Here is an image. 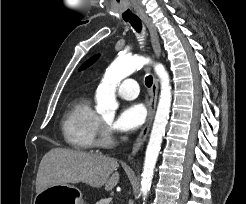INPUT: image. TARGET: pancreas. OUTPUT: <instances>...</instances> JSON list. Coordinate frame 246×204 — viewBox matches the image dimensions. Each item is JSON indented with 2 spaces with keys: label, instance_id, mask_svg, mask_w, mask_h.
<instances>
[{
  "label": "pancreas",
  "instance_id": "pancreas-1",
  "mask_svg": "<svg viewBox=\"0 0 246 204\" xmlns=\"http://www.w3.org/2000/svg\"><path fill=\"white\" fill-rule=\"evenodd\" d=\"M111 198H103L96 202V204H110Z\"/></svg>",
  "mask_w": 246,
  "mask_h": 204
}]
</instances>
